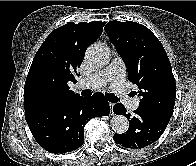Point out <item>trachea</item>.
Wrapping results in <instances>:
<instances>
[{
  "label": "trachea",
  "mask_w": 196,
  "mask_h": 166,
  "mask_svg": "<svg viewBox=\"0 0 196 166\" xmlns=\"http://www.w3.org/2000/svg\"><path fill=\"white\" fill-rule=\"evenodd\" d=\"M82 94L89 96L92 94V92L89 90H83ZM105 96H106L107 100H109L112 103H116L117 101H119V99L114 94L107 93V94H105Z\"/></svg>",
  "instance_id": "3493384b"
}]
</instances>
